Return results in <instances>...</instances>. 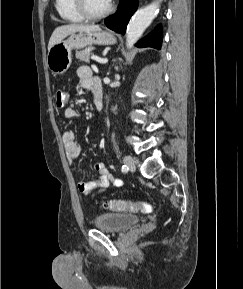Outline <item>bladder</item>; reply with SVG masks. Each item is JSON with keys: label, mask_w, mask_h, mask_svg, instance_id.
Returning <instances> with one entry per match:
<instances>
[{"label": "bladder", "mask_w": 243, "mask_h": 289, "mask_svg": "<svg viewBox=\"0 0 243 289\" xmlns=\"http://www.w3.org/2000/svg\"><path fill=\"white\" fill-rule=\"evenodd\" d=\"M140 218L136 215L120 212L103 213L94 218V226L110 232H124L137 225Z\"/></svg>", "instance_id": "obj_1"}]
</instances>
